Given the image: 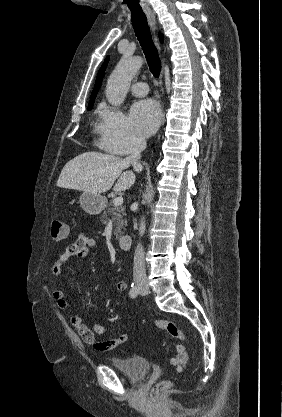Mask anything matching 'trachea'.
I'll use <instances>...</instances> for the list:
<instances>
[{"label": "trachea", "mask_w": 282, "mask_h": 417, "mask_svg": "<svg viewBox=\"0 0 282 417\" xmlns=\"http://www.w3.org/2000/svg\"><path fill=\"white\" fill-rule=\"evenodd\" d=\"M131 22L152 75L159 77L162 66L157 49L152 40L146 15L142 10H131Z\"/></svg>", "instance_id": "1"}]
</instances>
